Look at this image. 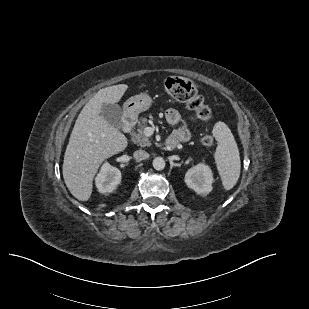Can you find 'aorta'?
I'll use <instances>...</instances> for the list:
<instances>
[{"label":"aorta","instance_id":"aorta-1","mask_svg":"<svg viewBox=\"0 0 309 309\" xmlns=\"http://www.w3.org/2000/svg\"><path fill=\"white\" fill-rule=\"evenodd\" d=\"M153 167L158 171L163 170L165 168V160L162 157L154 158Z\"/></svg>","mask_w":309,"mask_h":309}]
</instances>
